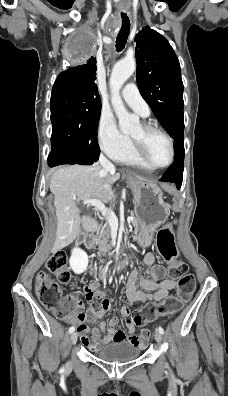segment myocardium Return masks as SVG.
Returning <instances> with one entry per match:
<instances>
[{
	"instance_id": "obj_1",
	"label": "myocardium",
	"mask_w": 228,
	"mask_h": 396,
	"mask_svg": "<svg viewBox=\"0 0 228 396\" xmlns=\"http://www.w3.org/2000/svg\"><path fill=\"white\" fill-rule=\"evenodd\" d=\"M141 126L146 132H157V133L161 134L162 136H164L170 145L171 155H170L169 161L166 164L161 165V166H156L149 161L143 144L138 142L134 138H131L134 153L137 156V158L139 159V161L144 166H146L148 169H151V170H162V169L169 167L174 162V159H175V145H174L173 138L170 136L169 133H167L165 130L158 127L157 125H155L152 122H143L141 124Z\"/></svg>"
}]
</instances>
